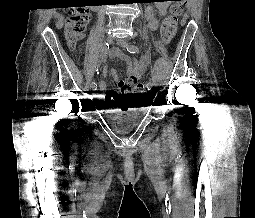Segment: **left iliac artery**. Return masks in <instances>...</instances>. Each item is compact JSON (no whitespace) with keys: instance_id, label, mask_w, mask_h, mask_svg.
Instances as JSON below:
<instances>
[{"instance_id":"44dca946","label":"left iliac artery","mask_w":255,"mask_h":218,"mask_svg":"<svg viewBox=\"0 0 255 218\" xmlns=\"http://www.w3.org/2000/svg\"><path fill=\"white\" fill-rule=\"evenodd\" d=\"M127 51L130 52V53H137L139 51V48L135 45H129L127 47ZM154 85V82L152 80H150L148 83H147V89L150 90Z\"/></svg>"}]
</instances>
